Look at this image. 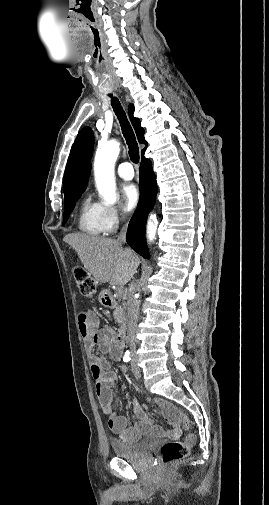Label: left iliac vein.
I'll return each mask as SVG.
<instances>
[{"label": "left iliac vein", "mask_w": 269, "mask_h": 505, "mask_svg": "<svg viewBox=\"0 0 269 505\" xmlns=\"http://www.w3.org/2000/svg\"><path fill=\"white\" fill-rule=\"evenodd\" d=\"M131 368H132V373L136 379H140L141 377V372L140 368L137 365L136 359L133 358L131 361Z\"/></svg>", "instance_id": "4c4485c4"}]
</instances>
